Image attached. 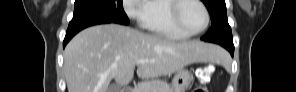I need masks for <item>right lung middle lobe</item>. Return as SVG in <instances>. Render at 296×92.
Returning <instances> with one entry per match:
<instances>
[{"mask_svg": "<svg viewBox=\"0 0 296 92\" xmlns=\"http://www.w3.org/2000/svg\"><path fill=\"white\" fill-rule=\"evenodd\" d=\"M85 18H101L119 24H129L122 0H75L72 20Z\"/></svg>", "mask_w": 296, "mask_h": 92, "instance_id": "1", "label": "right lung middle lobe"}]
</instances>
